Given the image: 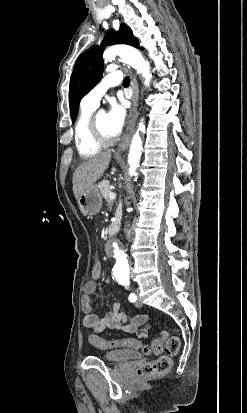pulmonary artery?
<instances>
[{
    "instance_id": "obj_1",
    "label": "pulmonary artery",
    "mask_w": 247,
    "mask_h": 413,
    "mask_svg": "<svg viewBox=\"0 0 247 413\" xmlns=\"http://www.w3.org/2000/svg\"><path fill=\"white\" fill-rule=\"evenodd\" d=\"M120 72H111L103 77L84 95L82 101L89 108H96L106 91L121 80Z\"/></svg>"
}]
</instances>
